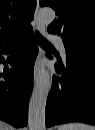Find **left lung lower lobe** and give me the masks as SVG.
Instances as JSON below:
<instances>
[{"label":"left lung lower lobe","instance_id":"left-lung-lower-lobe-1","mask_svg":"<svg viewBox=\"0 0 95 130\" xmlns=\"http://www.w3.org/2000/svg\"><path fill=\"white\" fill-rule=\"evenodd\" d=\"M66 68L56 64L63 74L53 77L45 119L46 126L67 122L95 124V54L65 45Z\"/></svg>","mask_w":95,"mask_h":130}]
</instances>
